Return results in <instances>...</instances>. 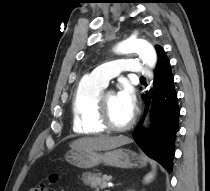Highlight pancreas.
<instances>
[{"label": "pancreas", "instance_id": "obj_1", "mask_svg": "<svg viewBox=\"0 0 210 191\" xmlns=\"http://www.w3.org/2000/svg\"><path fill=\"white\" fill-rule=\"evenodd\" d=\"M112 176L104 175L100 177L98 174H90L85 173L82 175V180L86 185H89L91 188L95 189V191H99V189H104L107 187V182L111 181Z\"/></svg>", "mask_w": 210, "mask_h": 191}]
</instances>
